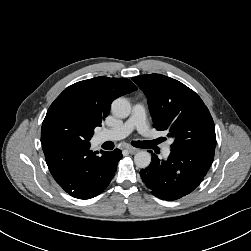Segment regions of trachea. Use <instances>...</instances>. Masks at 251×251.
<instances>
[{"mask_svg": "<svg viewBox=\"0 0 251 251\" xmlns=\"http://www.w3.org/2000/svg\"><path fill=\"white\" fill-rule=\"evenodd\" d=\"M158 143V140L154 141H133L131 144L134 147L138 148H150L151 146L155 145ZM111 147H113V143L111 142Z\"/></svg>", "mask_w": 251, "mask_h": 251, "instance_id": "trachea-1", "label": "trachea"}]
</instances>
